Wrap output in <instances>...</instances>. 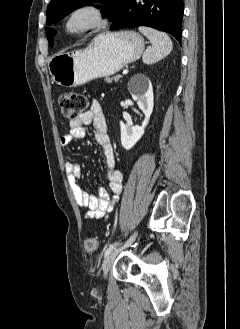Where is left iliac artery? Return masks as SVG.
I'll use <instances>...</instances> for the list:
<instances>
[{
  "mask_svg": "<svg viewBox=\"0 0 240 329\" xmlns=\"http://www.w3.org/2000/svg\"><path fill=\"white\" fill-rule=\"evenodd\" d=\"M118 244H119V242H115L114 244H111V245L107 248V250H106V252H105V256H107L111 251L115 250V249L117 248Z\"/></svg>",
  "mask_w": 240,
  "mask_h": 329,
  "instance_id": "left-iliac-artery-1",
  "label": "left iliac artery"
}]
</instances>
